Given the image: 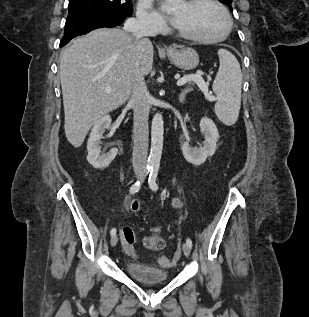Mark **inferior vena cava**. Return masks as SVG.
<instances>
[{"instance_id":"obj_1","label":"inferior vena cava","mask_w":309,"mask_h":317,"mask_svg":"<svg viewBox=\"0 0 309 317\" xmlns=\"http://www.w3.org/2000/svg\"><path fill=\"white\" fill-rule=\"evenodd\" d=\"M124 30L131 32L136 39L155 36L157 27L155 24L129 18L124 24ZM132 94L130 102L134 111V147L132 155L133 169L141 172L147 165L148 155V116H149V91L144 76L137 65L132 71Z\"/></svg>"}]
</instances>
